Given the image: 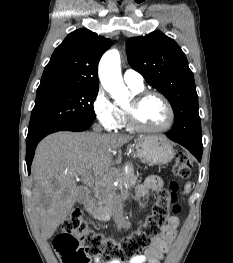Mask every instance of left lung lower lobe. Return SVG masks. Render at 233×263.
<instances>
[{
	"label": "left lung lower lobe",
	"instance_id": "1",
	"mask_svg": "<svg viewBox=\"0 0 233 263\" xmlns=\"http://www.w3.org/2000/svg\"><path fill=\"white\" fill-rule=\"evenodd\" d=\"M170 138V137H169ZM172 141L174 142H177L181 145H183L184 147H186L199 161L201 160V157H202V150L203 149H200L194 145H191V144H188V143H184V142H180V141H177L173 138H170Z\"/></svg>",
	"mask_w": 233,
	"mask_h": 263
}]
</instances>
